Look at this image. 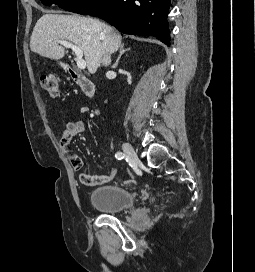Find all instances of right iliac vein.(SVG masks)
Returning a JSON list of instances; mask_svg holds the SVG:
<instances>
[{
	"instance_id": "1",
	"label": "right iliac vein",
	"mask_w": 255,
	"mask_h": 272,
	"mask_svg": "<svg viewBox=\"0 0 255 272\" xmlns=\"http://www.w3.org/2000/svg\"><path fill=\"white\" fill-rule=\"evenodd\" d=\"M122 149L129 158L135 161L138 160L137 154L130 143H127V142L123 143Z\"/></svg>"
}]
</instances>
